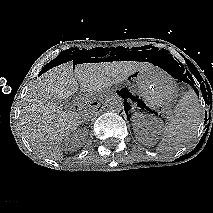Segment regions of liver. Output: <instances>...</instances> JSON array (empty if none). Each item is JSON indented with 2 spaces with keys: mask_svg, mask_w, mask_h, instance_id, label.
<instances>
[{
  "mask_svg": "<svg viewBox=\"0 0 213 213\" xmlns=\"http://www.w3.org/2000/svg\"><path fill=\"white\" fill-rule=\"evenodd\" d=\"M145 68L154 66L145 62L113 61L82 63L73 68V63L67 62L47 70L23 99L20 122L31 147L47 158L62 159V140L78 128L83 108L78 112L64 111L59 101L75 94L79 84L83 92L100 91Z\"/></svg>",
  "mask_w": 213,
  "mask_h": 213,
  "instance_id": "1",
  "label": "liver"
}]
</instances>
